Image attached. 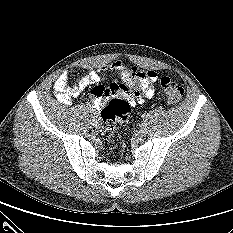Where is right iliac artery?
<instances>
[{
  "label": "right iliac artery",
  "instance_id": "obj_1",
  "mask_svg": "<svg viewBox=\"0 0 233 233\" xmlns=\"http://www.w3.org/2000/svg\"><path fill=\"white\" fill-rule=\"evenodd\" d=\"M89 115L92 117V118H94V117H96L95 115H96V111L95 110H90L89 111Z\"/></svg>",
  "mask_w": 233,
  "mask_h": 233
}]
</instances>
